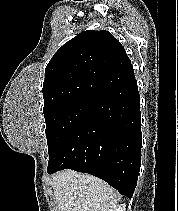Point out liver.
Here are the masks:
<instances>
[{
    "instance_id": "6515ba94",
    "label": "liver",
    "mask_w": 178,
    "mask_h": 211,
    "mask_svg": "<svg viewBox=\"0 0 178 211\" xmlns=\"http://www.w3.org/2000/svg\"><path fill=\"white\" fill-rule=\"evenodd\" d=\"M52 187L58 211H110L119 200L103 180L73 170L56 173Z\"/></svg>"
}]
</instances>
